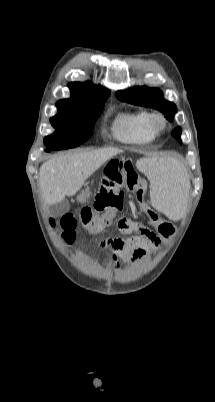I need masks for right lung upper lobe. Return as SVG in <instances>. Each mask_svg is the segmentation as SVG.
<instances>
[{
    "label": "right lung upper lobe",
    "mask_w": 215,
    "mask_h": 402,
    "mask_svg": "<svg viewBox=\"0 0 215 402\" xmlns=\"http://www.w3.org/2000/svg\"><path fill=\"white\" fill-rule=\"evenodd\" d=\"M71 98L60 101L92 102L109 96L110 91L101 85H94L91 82L70 83Z\"/></svg>",
    "instance_id": "1"
}]
</instances>
